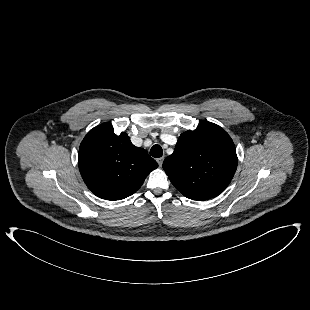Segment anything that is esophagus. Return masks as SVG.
I'll use <instances>...</instances> for the list:
<instances>
[{"mask_svg":"<svg viewBox=\"0 0 310 310\" xmlns=\"http://www.w3.org/2000/svg\"><path fill=\"white\" fill-rule=\"evenodd\" d=\"M163 160H164L163 157H160V158L157 159L158 165H159L160 167L162 166Z\"/></svg>","mask_w":310,"mask_h":310,"instance_id":"34e87169","label":"esophagus"}]
</instances>
